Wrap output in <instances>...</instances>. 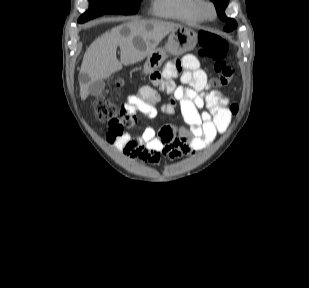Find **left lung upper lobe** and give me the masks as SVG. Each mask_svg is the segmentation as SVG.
Masks as SVG:
<instances>
[{"label":"left lung upper lobe","mask_w":309,"mask_h":288,"mask_svg":"<svg viewBox=\"0 0 309 288\" xmlns=\"http://www.w3.org/2000/svg\"><path fill=\"white\" fill-rule=\"evenodd\" d=\"M214 2L219 17L225 21L228 25L224 28L225 31L229 32L236 28L237 23L234 19L225 16L224 10L228 5L229 0H212Z\"/></svg>","instance_id":"5c2ea615"}]
</instances>
